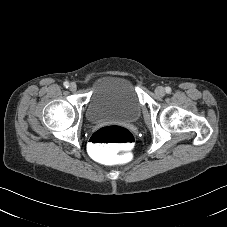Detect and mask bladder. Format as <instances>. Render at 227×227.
<instances>
[{
  "label": "bladder",
  "mask_w": 227,
  "mask_h": 227,
  "mask_svg": "<svg viewBox=\"0 0 227 227\" xmlns=\"http://www.w3.org/2000/svg\"><path fill=\"white\" fill-rule=\"evenodd\" d=\"M141 114L137 90L130 76L107 74L101 77L86 104L88 122H135Z\"/></svg>",
  "instance_id": "31cf9c89"
}]
</instances>
